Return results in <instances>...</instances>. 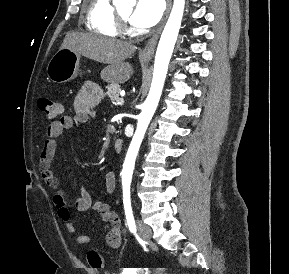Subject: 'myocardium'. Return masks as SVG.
<instances>
[{
	"label": "myocardium",
	"mask_w": 289,
	"mask_h": 274,
	"mask_svg": "<svg viewBox=\"0 0 289 274\" xmlns=\"http://www.w3.org/2000/svg\"><path fill=\"white\" fill-rule=\"evenodd\" d=\"M117 21L122 29L129 28V21L127 18H124L118 11H116Z\"/></svg>",
	"instance_id": "f54148a6"
}]
</instances>
